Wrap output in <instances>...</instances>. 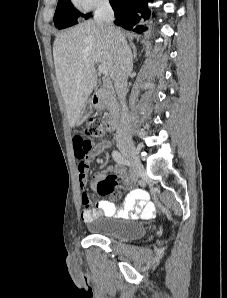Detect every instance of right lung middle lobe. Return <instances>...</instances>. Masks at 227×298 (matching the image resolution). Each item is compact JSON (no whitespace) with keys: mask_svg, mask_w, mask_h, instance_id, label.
Here are the masks:
<instances>
[{"mask_svg":"<svg viewBox=\"0 0 227 298\" xmlns=\"http://www.w3.org/2000/svg\"><path fill=\"white\" fill-rule=\"evenodd\" d=\"M80 16L87 19L90 14H81L71 3V0H58L56 12L54 15L55 26L63 29L78 23Z\"/></svg>","mask_w":227,"mask_h":298,"instance_id":"right-lung-middle-lobe-1","label":"right lung middle lobe"}]
</instances>
